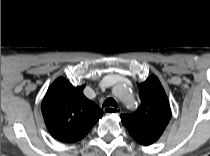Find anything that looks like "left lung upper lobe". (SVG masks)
<instances>
[{
	"label": "left lung upper lobe",
	"mask_w": 210,
	"mask_h": 156,
	"mask_svg": "<svg viewBox=\"0 0 210 156\" xmlns=\"http://www.w3.org/2000/svg\"><path fill=\"white\" fill-rule=\"evenodd\" d=\"M141 105L133 114H124L121 121L135 141L141 145L155 143L171 118V109L159 79L152 75L138 85Z\"/></svg>",
	"instance_id": "5c2ea615"
}]
</instances>
